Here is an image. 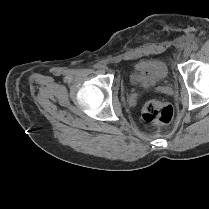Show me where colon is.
<instances>
[{"label":"colon","mask_w":209,"mask_h":209,"mask_svg":"<svg viewBox=\"0 0 209 209\" xmlns=\"http://www.w3.org/2000/svg\"><path fill=\"white\" fill-rule=\"evenodd\" d=\"M173 116V108L158 100L148 101L142 108V118L150 124L167 125L171 122Z\"/></svg>","instance_id":"5ec220e1"}]
</instances>
